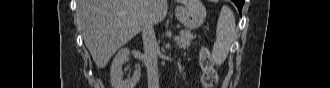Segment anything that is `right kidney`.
<instances>
[{"mask_svg": "<svg viewBox=\"0 0 330 88\" xmlns=\"http://www.w3.org/2000/svg\"><path fill=\"white\" fill-rule=\"evenodd\" d=\"M129 54V49L125 47L120 49L113 59L110 70V82L113 88H134L139 82L140 69H136L131 78L123 80L122 66L128 61Z\"/></svg>", "mask_w": 330, "mask_h": 88, "instance_id": "obj_1", "label": "right kidney"}]
</instances>
